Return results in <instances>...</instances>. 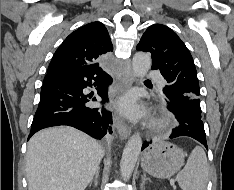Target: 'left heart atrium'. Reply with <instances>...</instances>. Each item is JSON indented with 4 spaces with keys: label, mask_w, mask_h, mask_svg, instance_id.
<instances>
[{
    "label": "left heart atrium",
    "mask_w": 234,
    "mask_h": 190,
    "mask_svg": "<svg viewBox=\"0 0 234 190\" xmlns=\"http://www.w3.org/2000/svg\"><path fill=\"white\" fill-rule=\"evenodd\" d=\"M117 107L126 115L130 117H137L141 114V109L137 104L136 98L133 95H126L122 97Z\"/></svg>",
    "instance_id": "obj_1"
}]
</instances>
